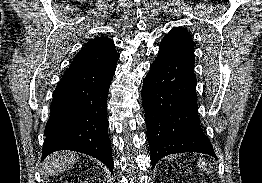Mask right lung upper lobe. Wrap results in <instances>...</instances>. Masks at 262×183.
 I'll use <instances>...</instances> for the list:
<instances>
[{"mask_svg":"<svg viewBox=\"0 0 262 183\" xmlns=\"http://www.w3.org/2000/svg\"><path fill=\"white\" fill-rule=\"evenodd\" d=\"M118 59L114 42L100 36L89 40L82 47L69 68H106L116 64Z\"/></svg>","mask_w":262,"mask_h":183,"instance_id":"1","label":"right lung upper lobe"}]
</instances>
